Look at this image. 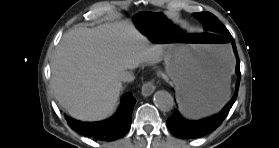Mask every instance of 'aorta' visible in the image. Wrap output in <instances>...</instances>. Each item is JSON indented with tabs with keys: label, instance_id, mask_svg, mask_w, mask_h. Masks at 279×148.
I'll list each match as a JSON object with an SVG mask.
<instances>
[{
	"label": "aorta",
	"instance_id": "obj_1",
	"mask_svg": "<svg viewBox=\"0 0 279 148\" xmlns=\"http://www.w3.org/2000/svg\"><path fill=\"white\" fill-rule=\"evenodd\" d=\"M153 100L156 107L164 112L170 111L174 105L172 95L164 90L155 92Z\"/></svg>",
	"mask_w": 279,
	"mask_h": 148
}]
</instances>
